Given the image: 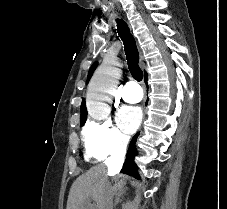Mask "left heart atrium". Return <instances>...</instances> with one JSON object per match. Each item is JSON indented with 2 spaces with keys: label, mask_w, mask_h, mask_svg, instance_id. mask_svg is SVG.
<instances>
[{
  "label": "left heart atrium",
  "mask_w": 227,
  "mask_h": 209,
  "mask_svg": "<svg viewBox=\"0 0 227 209\" xmlns=\"http://www.w3.org/2000/svg\"><path fill=\"white\" fill-rule=\"evenodd\" d=\"M141 116L139 106L123 105L117 112V122L123 132L132 134L137 129Z\"/></svg>",
  "instance_id": "1"
}]
</instances>
